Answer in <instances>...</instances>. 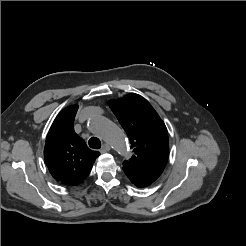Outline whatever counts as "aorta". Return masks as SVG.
I'll return each instance as SVG.
<instances>
[{"label": "aorta", "instance_id": "762f6f07", "mask_svg": "<svg viewBox=\"0 0 246 246\" xmlns=\"http://www.w3.org/2000/svg\"><path fill=\"white\" fill-rule=\"evenodd\" d=\"M88 128L108 142L121 155L128 156L129 149L123 131L107 118L94 115L88 120Z\"/></svg>", "mask_w": 246, "mask_h": 246}]
</instances>
